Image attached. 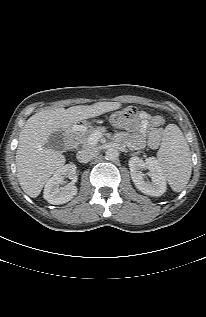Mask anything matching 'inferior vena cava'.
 <instances>
[{
  "label": "inferior vena cava",
  "mask_w": 206,
  "mask_h": 317,
  "mask_svg": "<svg viewBox=\"0 0 206 317\" xmlns=\"http://www.w3.org/2000/svg\"><path fill=\"white\" fill-rule=\"evenodd\" d=\"M95 155V151L91 148H84L77 153V159L81 163L89 162Z\"/></svg>",
  "instance_id": "obj_1"
}]
</instances>
